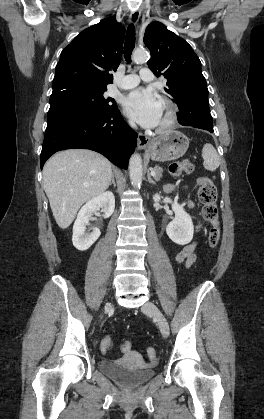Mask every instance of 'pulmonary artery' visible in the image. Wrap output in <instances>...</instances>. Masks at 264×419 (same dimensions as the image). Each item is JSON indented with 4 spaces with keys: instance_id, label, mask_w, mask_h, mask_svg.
<instances>
[{
    "instance_id": "pulmonary-artery-1",
    "label": "pulmonary artery",
    "mask_w": 264,
    "mask_h": 419,
    "mask_svg": "<svg viewBox=\"0 0 264 419\" xmlns=\"http://www.w3.org/2000/svg\"><path fill=\"white\" fill-rule=\"evenodd\" d=\"M140 80L144 81H151L152 80V72L148 68H143L140 70L139 75L137 74H128L123 77L121 88L122 89H131L137 86Z\"/></svg>"
}]
</instances>
